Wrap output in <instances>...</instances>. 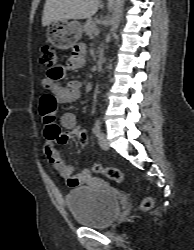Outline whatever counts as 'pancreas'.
<instances>
[{
	"instance_id": "cf45deb5",
	"label": "pancreas",
	"mask_w": 194,
	"mask_h": 250,
	"mask_svg": "<svg viewBox=\"0 0 194 250\" xmlns=\"http://www.w3.org/2000/svg\"><path fill=\"white\" fill-rule=\"evenodd\" d=\"M97 30L96 27V19H87L86 23L84 24V32L87 36H92L95 31Z\"/></svg>"
}]
</instances>
